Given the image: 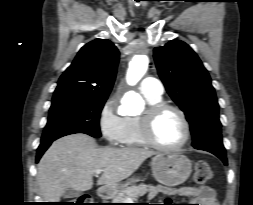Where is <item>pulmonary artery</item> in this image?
<instances>
[{
	"label": "pulmonary artery",
	"mask_w": 253,
	"mask_h": 205,
	"mask_svg": "<svg viewBox=\"0 0 253 205\" xmlns=\"http://www.w3.org/2000/svg\"><path fill=\"white\" fill-rule=\"evenodd\" d=\"M140 90L143 94L162 96L164 87L159 79L154 77H146L140 84Z\"/></svg>",
	"instance_id": "obj_1"
}]
</instances>
